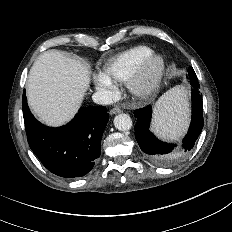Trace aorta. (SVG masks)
I'll return each mask as SVG.
<instances>
[{
  "label": "aorta",
  "mask_w": 232,
  "mask_h": 232,
  "mask_svg": "<svg viewBox=\"0 0 232 232\" xmlns=\"http://www.w3.org/2000/svg\"><path fill=\"white\" fill-rule=\"evenodd\" d=\"M114 125L120 131H127L132 127V119L129 115L121 113L115 116Z\"/></svg>",
  "instance_id": "1"
}]
</instances>
